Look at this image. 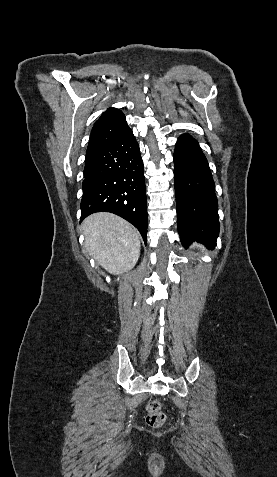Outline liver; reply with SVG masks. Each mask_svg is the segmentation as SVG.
<instances>
[{"label": "liver", "instance_id": "6515ba94", "mask_svg": "<svg viewBox=\"0 0 277 477\" xmlns=\"http://www.w3.org/2000/svg\"><path fill=\"white\" fill-rule=\"evenodd\" d=\"M85 249L109 273L130 271L140 255V236L126 220L108 212L90 215L82 223Z\"/></svg>", "mask_w": 277, "mask_h": 477}]
</instances>
